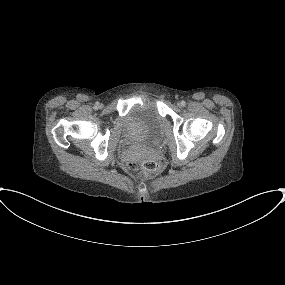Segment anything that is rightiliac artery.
Here are the masks:
<instances>
[{
  "mask_svg": "<svg viewBox=\"0 0 285 285\" xmlns=\"http://www.w3.org/2000/svg\"><path fill=\"white\" fill-rule=\"evenodd\" d=\"M98 102H96L95 107L97 108Z\"/></svg>",
  "mask_w": 285,
  "mask_h": 285,
  "instance_id": "right-iliac-artery-1",
  "label": "right iliac artery"
}]
</instances>
